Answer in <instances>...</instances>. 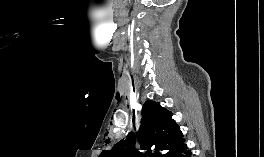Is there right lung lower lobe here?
<instances>
[{
	"mask_svg": "<svg viewBox=\"0 0 264 157\" xmlns=\"http://www.w3.org/2000/svg\"><path fill=\"white\" fill-rule=\"evenodd\" d=\"M163 157H192L190 150L185 144V140H181L175 147L168 151Z\"/></svg>",
	"mask_w": 264,
	"mask_h": 157,
	"instance_id": "right-lung-lower-lobe-1",
	"label": "right lung lower lobe"
}]
</instances>
